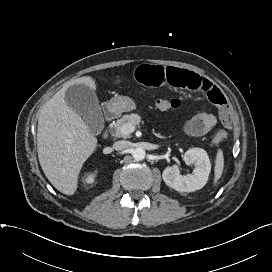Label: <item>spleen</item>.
I'll use <instances>...</instances> for the list:
<instances>
[{
	"label": "spleen",
	"mask_w": 272,
	"mask_h": 272,
	"mask_svg": "<svg viewBox=\"0 0 272 272\" xmlns=\"http://www.w3.org/2000/svg\"><path fill=\"white\" fill-rule=\"evenodd\" d=\"M224 168V157H223V152L221 149L218 150L217 155H216V161H215V178H214V183H216L223 172Z\"/></svg>",
	"instance_id": "3e777b00"
}]
</instances>
